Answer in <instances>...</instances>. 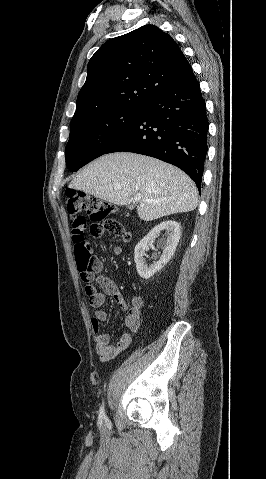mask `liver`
Returning <instances> with one entry per match:
<instances>
[{"label":"liver","instance_id":"6515ba94","mask_svg":"<svg viewBox=\"0 0 266 479\" xmlns=\"http://www.w3.org/2000/svg\"><path fill=\"white\" fill-rule=\"evenodd\" d=\"M69 188L117 205H128L140 195L137 214L144 221L193 211L198 206L197 187L183 171L130 152L99 157L73 178Z\"/></svg>","mask_w":266,"mask_h":479}]
</instances>
